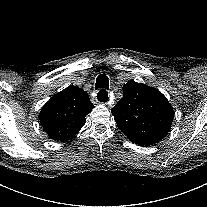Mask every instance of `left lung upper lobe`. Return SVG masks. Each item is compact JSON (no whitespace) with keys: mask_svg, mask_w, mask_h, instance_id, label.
<instances>
[{"mask_svg":"<svg viewBox=\"0 0 207 207\" xmlns=\"http://www.w3.org/2000/svg\"><path fill=\"white\" fill-rule=\"evenodd\" d=\"M111 112L121 131L141 146L163 139L174 118L173 107L160 91L133 80L124 84L123 97Z\"/></svg>","mask_w":207,"mask_h":207,"instance_id":"1","label":"left lung upper lobe"}]
</instances>
